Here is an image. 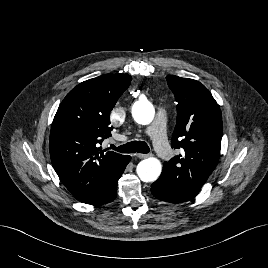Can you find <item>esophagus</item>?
Wrapping results in <instances>:
<instances>
[{
	"label": "esophagus",
	"instance_id": "1",
	"mask_svg": "<svg viewBox=\"0 0 268 268\" xmlns=\"http://www.w3.org/2000/svg\"><path fill=\"white\" fill-rule=\"evenodd\" d=\"M136 156L140 159L147 158L149 154H142V153H137Z\"/></svg>",
	"mask_w": 268,
	"mask_h": 268
}]
</instances>
